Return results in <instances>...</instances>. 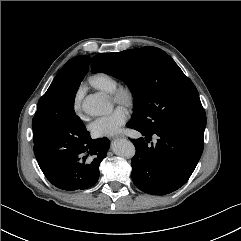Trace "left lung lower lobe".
Returning <instances> with one entry per match:
<instances>
[{
  "mask_svg": "<svg viewBox=\"0 0 241 241\" xmlns=\"http://www.w3.org/2000/svg\"><path fill=\"white\" fill-rule=\"evenodd\" d=\"M127 127L136 129L146 138L156 134V144L131 139L136 147L132 158V180L143 192L153 195L169 194L183 186L193 173L203 151L204 130L170 124L155 132L143 130L137 120Z\"/></svg>",
  "mask_w": 241,
  "mask_h": 241,
  "instance_id": "1",
  "label": "left lung lower lobe"
}]
</instances>
